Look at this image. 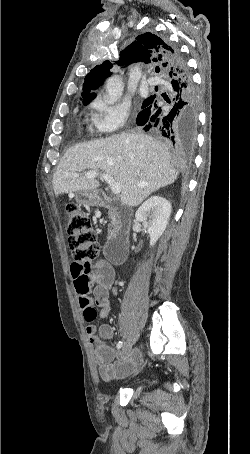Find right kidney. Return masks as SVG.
I'll use <instances>...</instances> for the list:
<instances>
[{"mask_svg":"<svg viewBox=\"0 0 250 454\" xmlns=\"http://www.w3.org/2000/svg\"><path fill=\"white\" fill-rule=\"evenodd\" d=\"M171 210V204L165 198L152 196L136 211V220L143 224L150 236V246H154L165 231Z\"/></svg>","mask_w":250,"mask_h":454,"instance_id":"obj_1","label":"right kidney"}]
</instances>
